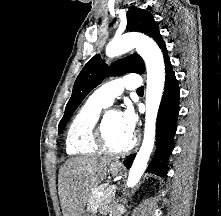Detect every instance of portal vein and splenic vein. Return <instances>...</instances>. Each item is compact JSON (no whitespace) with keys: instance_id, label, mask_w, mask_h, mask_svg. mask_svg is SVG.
Returning a JSON list of instances; mask_svg holds the SVG:
<instances>
[{"instance_id":"portal-vein-and-splenic-vein-1","label":"portal vein and splenic vein","mask_w":221,"mask_h":216,"mask_svg":"<svg viewBox=\"0 0 221 216\" xmlns=\"http://www.w3.org/2000/svg\"><path fill=\"white\" fill-rule=\"evenodd\" d=\"M112 190H115V186H109L107 189H106V192H109V191H112ZM103 194V193H102Z\"/></svg>"}]
</instances>
